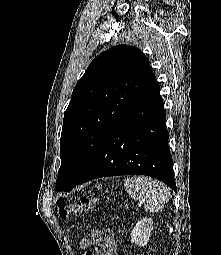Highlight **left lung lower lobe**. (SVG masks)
<instances>
[{"label": "left lung lower lobe", "mask_w": 221, "mask_h": 255, "mask_svg": "<svg viewBox=\"0 0 221 255\" xmlns=\"http://www.w3.org/2000/svg\"><path fill=\"white\" fill-rule=\"evenodd\" d=\"M159 89L156 85L116 121L76 185L100 177L141 174L177 192Z\"/></svg>", "instance_id": "0a47b994"}]
</instances>
